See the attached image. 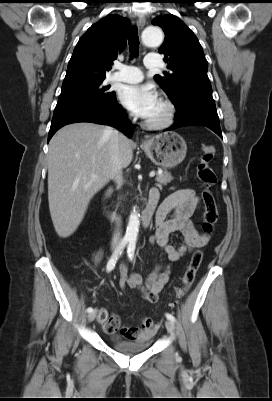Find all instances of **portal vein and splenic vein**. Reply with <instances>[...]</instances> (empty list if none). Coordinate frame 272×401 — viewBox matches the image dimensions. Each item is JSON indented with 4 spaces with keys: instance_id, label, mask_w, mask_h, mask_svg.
Here are the masks:
<instances>
[{
    "instance_id": "1",
    "label": "portal vein and splenic vein",
    "mask_w": 272,
    "mask_h": 401,
    "mask_svg": "<svg viewBox=\"0 0 272 401\" xmlns=\"http://www.w3.org/2000/svg\"><path fill=\"white\" fill-rule=\"evenodd\" d=\"M149 176H150L151 178L154 177V176H155V172H154V171L150 172Z\"/></svg>"
}]
</instances>
